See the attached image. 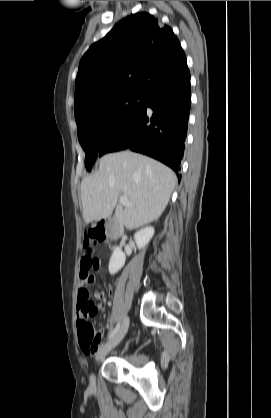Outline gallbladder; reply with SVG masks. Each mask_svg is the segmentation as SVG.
I'll return each instance as SVG.
<instances>
[{
  "mask_svg": "<svg viewBox=\"0 0 271 418\" xmlns=\"http://www.w3.org/2000/svg\"><path fill=\"white\" fill-rule=\"evenodd\" d=\"M120 225L116 221L114 215L110 216L107 220V231L110 235L120 233Z\"/></svg>",
  "mask_w": 271,
  "mask_h": 418,
  "instance_id": "gallbladder-1",
  "label": "gallbladder"
}]
</instances>
